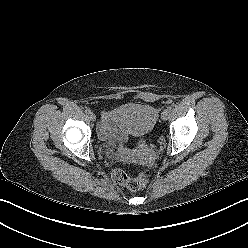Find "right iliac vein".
Wrapping results in <instances>:
<instances>
[{
    "label": "right iliac vein",
    "instance_id": "right-iliac-vein-1",
    "mask_svg": "<svg viewBox=\"0 0 248 248\" xmlns=\"http://www.w3.org/2000/svg\"><path fill=\"white\" fill-rule=\"evenodd\" d=\"M89 118H90L91 121H95L96 120V115L93 112H91L89 114Z\"/></svg>",
    "mask_w": 248,
    "mask_h": 248
}]
</instances>
